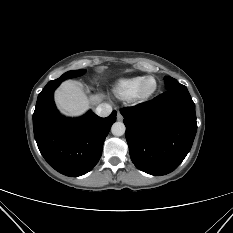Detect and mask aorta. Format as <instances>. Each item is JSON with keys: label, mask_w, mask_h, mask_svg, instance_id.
<instances>
[{"label": "aorta", "mask_w": 233, "mask_h": 233, "mask_svg": "<svg viewBox=\"0 0 233 233\" xmlns=\"http://www.w3.org/2000/svg\"><path fill=\"white\" fill-rule=\"evenodd\" d=\"M126 127L123 122H115L111 127V132L114 136L124 135Z\"/></svg>", "instance_id": "obj_1"}]
</instances>
